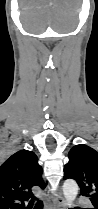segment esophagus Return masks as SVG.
<instances>
[{"label":"esophagus","mask_w":98,"mask_h":209,"mask_svg":"<svg viewBox=\"0 0 98 209\" xmlns=\"http://www.w3.org/2000/svg\"><path fill=\"white\" fill-rule=\"evenodd\" d=\"M49 209H66L65 201L60 193H56L49 199Z\"/></svg>","instance_id":"obj_1"}]
</instances>
